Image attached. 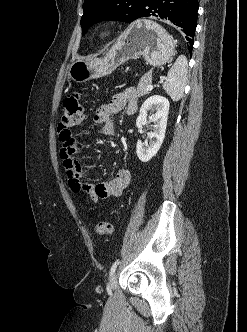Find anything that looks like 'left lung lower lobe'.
<instances>
[{
    "instance_id": "obj_1",
    "label": "left lung lower lobe",
    "mask_w": 247,
    "mask_h": 332,
    "mask_svg": "<svg viewBox=\"0 0 247 332\" xmlns=\"http://www.w3.org/2000/svg\"><path fill=\"white\" fill-rule=\"evenodd\" d=\"M198 8V0H147L138 18L155 16L172 22L185 33L188 49L192 50Z\"/></svg>"
}]
</instances>
